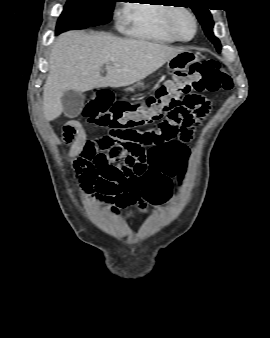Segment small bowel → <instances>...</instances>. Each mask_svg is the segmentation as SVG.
Masks as SVG:
<instances>
[{
    "label": "small bowel",
    "mask_w": 270,
    "mask_h": 338,
    "mask_svg": "<svg viewBox=\"0 0 270 338\" xmlns=\"http://www.w3.org/2000/svg\"><path fill=\"white\" fill-rule=\"evenodd\" d=\"M167 122L171 120L166 118L162 121V123ZM192 133L193 127L191 135ZM63 139L68 145L67 158L78 170L77 179L81 193L90 203L100 206H109L113 203L102 190L107 173L125 161L133 151L136 157L144 154L155 173V180L147 184L154 205H163L170 200L173 180L183 173L190 155L186 144H183L177 153L160 158L154 154V148L142 153L139 145L119 136L97 133L89 139L85 128L77 120L68 121L64 125ZM174 141L175 139H170L159 147ZM113 210L115 212L116 208Z\"/></svg>",
    "instance_id": "1"
}]
</instances>
